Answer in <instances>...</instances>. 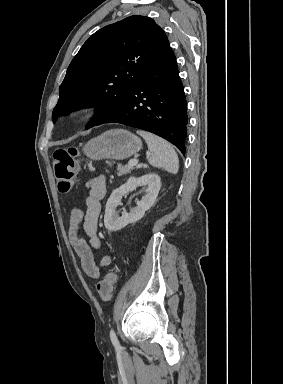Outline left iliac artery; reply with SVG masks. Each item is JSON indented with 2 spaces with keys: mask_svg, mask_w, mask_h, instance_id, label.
Wrapping results in <instances>:
<instances>
[{
  "mask_svg": "<svg viewBox=\"0 0 283 384\" xmlns=\"http://www.w3.org/2000/svg\"><path fill=\"white\" fill-rule=\"evenodd\" d=\"M110 339H111V342L116 349L121 348L120 343L118 341V338H117L115 331L113 329L110 330Z\"/></svg>",
  "mask_w": 283,
  "mask_h": 384,
  "instance_id": "1",
  "label": "left iliac artery"
}]
</instances>
